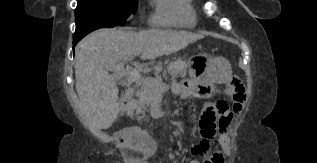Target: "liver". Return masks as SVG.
<instances>
[{"mask_svg":"<svg viewBox=\"0 0 317 163\" xmlns=\"http://www.w3.org/2000/svg\"><path fill=\"white\" fill-rule=\"evenodd\" d=\"M188 31L150 29L132 32L99 29L84 37L76 47L75 77L80 110L96 130L108 129L119 113L118 78L109 74L110 67L130 57L155 59L186 48L202 39ZM127 66L124 76L128 85L133 75L140 74V64ZM126 84V82H123Z\"/></svg>","mask_w":317,"mask_h":163,"instance_id":"obj_1","label":"liver"}]
</instances>
